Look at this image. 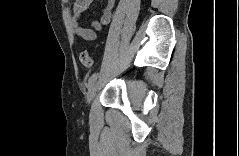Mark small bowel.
I'll return each mask as SVG.
<instances>
[{"mask_svg": "<svg viewBox=\"0 0 239 156\" xmlns=\"http://www.w3.org/2000/svg\"><path fill=\"white\" fill-rule=\"evenodd\" d=\"M90 5V0H76L73 4V29L77 37L92 41L96 38V32L103 29L106 26L112 16V9L114 7V1L109 0L107 5L102 8L101 16L99 20L91 22V27H86L82 24L83 15Z\"/></svg>", "mask_w": 239, "mask_h": 156, "instance_id": "1", "label": "small bowel"}]
</instances>
